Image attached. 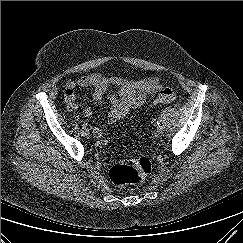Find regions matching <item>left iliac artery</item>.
Segmentation results:
<instances>
[{
  "label": "left iliac artery",
  "instance_id": "44dca946",
  "mask_svg": "<svg viewBox=\"0 0 243 243\" xmlns=\"http://www.w3.org/2000/svg\"><path fill=\"white\" fill-rule=\"evenodd\" d=\"M156 124L159 125L160 124V121L157 120Z\"/></svg>",
  "mask_w": 243,
  "mask_h": 243
}]
</instances>
